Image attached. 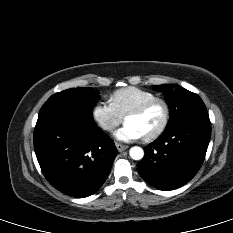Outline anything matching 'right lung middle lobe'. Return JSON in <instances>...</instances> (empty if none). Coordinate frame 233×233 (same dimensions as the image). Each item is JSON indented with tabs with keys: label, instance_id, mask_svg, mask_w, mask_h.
<instances>
[{
	"label": "right lung middle lobe",
	"instance_id": "1",
	"mask_svg": "<svg viewBox=\"0 0 233 233\" xmlns=\"http://www.w3.org/2000/svg\"><path fill=\"white\" fill-rule=\"evenodd\" d=\"M99 98L97 90L89 87L55 93L42 106L38 119L52 115H69L94 122L92 107Z\"/></svg>",
	"mask_w": 233,
	"mask_h": 233
}]
</instances>
